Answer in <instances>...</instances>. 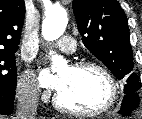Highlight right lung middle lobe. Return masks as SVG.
I'll list each match as a JSON object with an SVG mask.
<instances>
[{"label": "right lung middle lobe", "mask_w": 142, "mask_h": 119, "mask_svg": "<svg viewBox=\"0 0 142 119\" xmlns=\"http://www.w3.org/2000/svg\"><path fill=\"white\" fill-rule=\"evenodd\" d=\"M15 51L0 50V92H14L16 89Z\"/></svg>", "instance_id": "obj_1"}]
</instances>
